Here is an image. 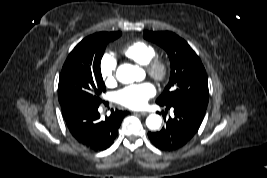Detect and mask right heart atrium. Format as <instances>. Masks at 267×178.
I'll return each mask as SVG.
<instances>
[{
	"instance_id": "obj_1",
	"label": "right heart atrium",
	"mask_w": 267,
	"mask_h": 178,
	"mask_svg": "<svg viewBox=\"0 0 267 178\" xmlns=\"http://www.w3.org/2000/svg\"><path fill=\"white\" fill-rule=\"evenodd\" d=\"M116 66L117 62L113 55L106 53L101 57L99 72L103 82L108 87L115 86L117 82Z\"/></svg>"
}]
</instances>
